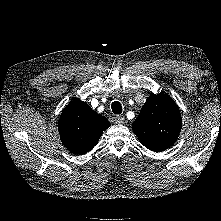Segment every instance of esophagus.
<instances>
[{
  "label": "esophagus",
  "instance_id": "obj_1",
  "mask_svg": "<svg viewBox=\"0 0 221 221\" xmlns=\"http://www.w3.org/2000/svg\"><path fill=\"white\" fill-rule=\"evenodd\" d=\"M115 123H117V124H124L125 123V118L123 116L117 115L115 117Z\"/></svg>",
  "mask_w": 221,
  "mask_h": 221
}]
</instances>
